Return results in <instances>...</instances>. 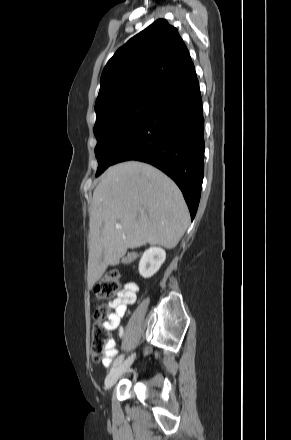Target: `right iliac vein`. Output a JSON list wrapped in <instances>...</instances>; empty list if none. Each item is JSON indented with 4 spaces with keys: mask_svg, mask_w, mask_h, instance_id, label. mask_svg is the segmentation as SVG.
Here are the masks:
<instances>
[{
    "mask_svg": "<svg viewBox=\"0 0 291 440\" xmlns=\"http://www.w3.org/2000/svg\"><path fill=\"white\" fill-rule=\"evenodd\" d=\"M135 358V355L132 354L129 356L123 363L119 366L113 368L105 379V388L107 390H111L119 377L131 366Z\"/></svg>",
    "mask_w": 291,
    "mask_h": 440,
    "instance_id": "obj_1",
    "label": "right iliac vein"
}]
</instances>
